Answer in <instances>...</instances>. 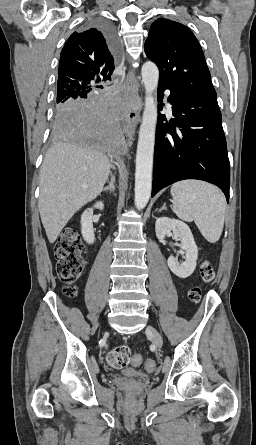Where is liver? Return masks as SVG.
I'll list each match as a JSON object with an SVG mask.
<instances>
[{
    "label": "liver",
    "mask_w": 256,
    "mask_h": 445,
    "mask_svg": "<svg viewBox=\"0 0 256 445\" xmlns=\"http://www.w3.org/2000/svg\"><path fill=\"white\" fill-rule=\"evenodd\" d=\"M110 168L107 157L81 142H57L48 150L40 171L39 212L50 243L102 192Z\"/></svg>",
    "instance_id": "liver-1"
}]
</instances>
